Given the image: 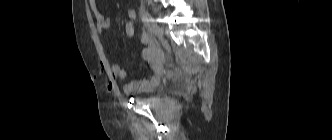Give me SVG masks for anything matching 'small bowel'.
Here are the masks:
<instances>
[{"label": "small bowel", "instance_id": "c3829d8e", "mask_svg": "<svg viewBox=\"0 0 332 140\" xmlns=\"http://www.w3.org/2000/svg\"><path fill=\"white\" fill-rule=\"evenodd\" d=\"M89 1V6L92 11V14L95 18L96 21V29L97 32L102 35L105 32L109 31L112 27V20L110 17H105L98 9L97 6V0H88ZM126 13L129 18L133 19L136 17V11L132 7H128L126 10ZM141 41L144 45L149 44V37L144 34L141 37ZM152 55V49L151 47L147 46L143 52L142 56L144 59L148 60ZM111 73L112 76L115 79L121 80V81H126L127 79V74L126 71L120 67L118 64H113L111 66ZM149 82V79H143V80H137V81H131V82H126L124 84V92L127 94H133L137 92H142L147 83Z\"/></svg>", "mask_w": 332, "mask_h": 140}]
</instances>
